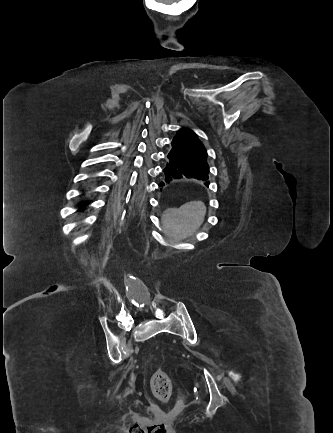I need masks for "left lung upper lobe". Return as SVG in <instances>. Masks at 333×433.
<instances>
[{"label": "left lung upper lobe", "instance_id": "5c2ea615", "mask_svg": "<svg viewBox=\"0 0 333 433\" xmlns=\"http://www.w3.org/2000/svg\"><path fill=\"white\" fill-rule=\"evenodd\" d=\"M174 139L179 142L187 145L200 155L207 158V152L201 141L198 139V136L190 129L182 128L178 131L177 135Z\"/></svg>", "mask_w": 333, "mask_h": 433}]
</instances>
